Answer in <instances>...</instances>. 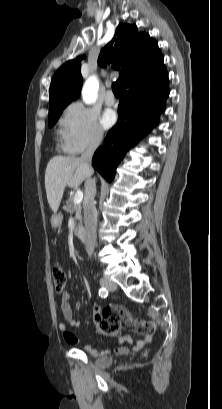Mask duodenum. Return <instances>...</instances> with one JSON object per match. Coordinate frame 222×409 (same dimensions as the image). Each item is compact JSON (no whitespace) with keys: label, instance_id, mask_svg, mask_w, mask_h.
I'll list each match as a JSON object with an SVG mask.
<instances>
[{"label":"duodenum","instance_id":"410a0bca","mask_svg":"<svg viewBox=\"0 0 222 409\" xmlns=\"http://www.w3.org/2000/svg\"><path fill=\"white\" fill-rule=\"evenodd\" d=\"M76 233L78 238L80 239L81 242L85 243L86 242V234L85 231L82 227L78 226L76 229Z\"/></svg>","mask_w":222,"mask_h":409}]
</instances>
